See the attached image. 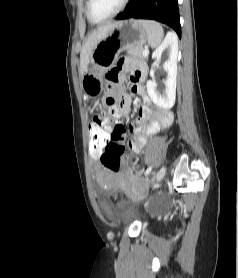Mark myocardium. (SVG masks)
I'll list each match as a JSON object with an SVG mask.
<instances>
[{
  "mask_svg": "<svg viewBox=\"0 0 238 278\" xmlns=\"http://www.w3.org/2000/svg\"><path fill=\"white\" fill-rule=\"evenodd\" d=\"M129 0H122L120 6L110 15L104 17V18H95L92 14L91 11V5H92V0H87V4H86V14L88 19L93 22V23H102L105 22L113 17H115L116 15H118L120 12H122L124 10V8L126 7V5L128 4Z\"/></svg>",
  "mask_w": 238,
  "mask_h": 278,
  "instance_id": "1",
  "label": "myocardium"
}]
</instances>
